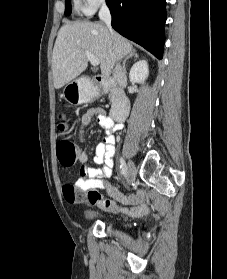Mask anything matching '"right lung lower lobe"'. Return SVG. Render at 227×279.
Listing matches in <instances>:
<instances>
[{"mask_svg":"<svg viewBox=\"0 0 227 279\" xmlns=\"http://www.w3.org/2000/svg\"><path fill=\"white\" fill-rule=\"evenodd\" d=\"M112 27L161 59L166 21L165 0H106Z\"/></svg>","mask_w":227,"mask_h":279,"instance_id":"obj_1","label":"right lung lower lobe"}]
</instances>
